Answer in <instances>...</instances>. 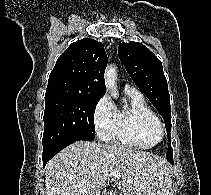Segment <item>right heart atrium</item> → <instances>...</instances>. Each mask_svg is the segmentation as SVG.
Masks as SVG:
<instances>
[{
  "mask_svg": "<svg viewBox=\"0 0 211 195\" xmlns=\"http://www.w3.org/2000/svg\"><path fill=\"white\" fill-rule=\"evenodd\" d=\"M114 115V105L107 96H103L95 107L93 113V122L97 135L104 141L111 138Z\"/></svg>",
  "mask_w": 211,
  "mask_h": 195,
  "instance_id": "1",
  "label": "right heart atrium"
}]
</instances>
